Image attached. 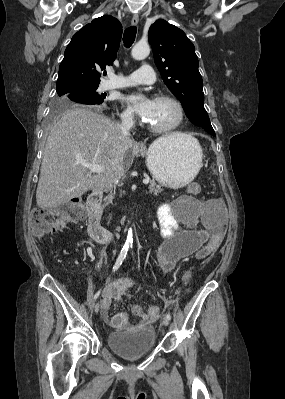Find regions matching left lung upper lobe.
<instances>
[{
	"label": "left lung upper lobe",
	"instance_id": "5c2ea615",
	"mask_svg": "<svg viewBox=\"0 0 285 399\" xmlns=\"http://www.w3.org/2000/svg\"><path fill=\"white\" fill-rule=\"evenodd\" d=\"M148 38L165 85L182 103L190 121L214 135L204 108L203 81L193 43L181 29L165 20L150 26Z\"/></svg>",
	"mask_w": 285,
	"mask_h": 399
}]
</instances>
